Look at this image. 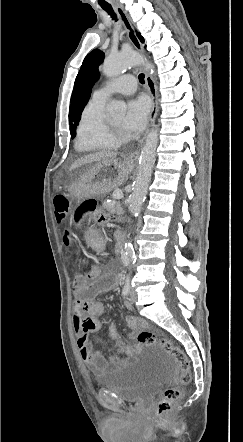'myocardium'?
I'll list each match as a JSON object with an SVG mask.
<instances>
[{"mask_svg":"<svg viewBox=\"0 0 243 442\" xmlns=\"http://www.w3.org/2000/svg\"><path fill=\"white\" fill-rule=\"evenodd\" d=\"M104 130L106 137L114 143L118 144L126 139L124 131L114 127L109 120H105Z\"/></svg>","mask_w":243,"mask_h":442,"instance_id":"obj_1","label":"myocardium"}]
</instances>
